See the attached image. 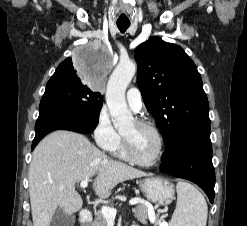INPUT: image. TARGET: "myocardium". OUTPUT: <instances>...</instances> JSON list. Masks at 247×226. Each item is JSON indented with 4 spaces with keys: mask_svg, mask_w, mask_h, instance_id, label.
I'll return each mask as SVG.
<instances>
[{
    "mask_svg": "<svg viewBox=\"0 0 247 226\" xmlns=\"http://www.w3.org/2000/svg\"><path fill=\"white\" fill-rule=\"evenodd\" d=\"M134 123L139 127L149 128L150 130L154 132V134L156 135L158 139V143H159L158 153L156 157L151 161H142L138 159L132 152L128 138L122 133V146H123V151L125 153L126 158L129 161L133 162L134 164L142 166V167H152V166L157 165L161 161L164 155V151H165V141H164V137L161 131L153 122L148 121V120L138 119V120H135Z\"/></svg>",
    "mask_w": 247,
    "mask_h": 226,
    "instance_id": "f54148a6",
    "label": "myocardium"
}]
</instances>
